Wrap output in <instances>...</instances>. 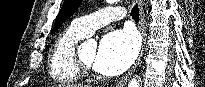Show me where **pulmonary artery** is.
<instances>
[{
    "mask_svg": "<svg viewBox=\"0 0 205 87\" xmlns=\"http://www.w3.org/2000/svg\"><path fill=\"white\" fill-rule=\"evenodd\" d=\"M125 17V11L121 7H107L99 11L90 13L81 18L75 19L71 26L84 36H89L96 29L107 24L121 20Z\"/></svg>",
    "mask_w": 205,
    "mask_h": 87,
    "instance_id": "e3ab8cb5",
    "label": "pulmonary artery"
}]
</instances>
